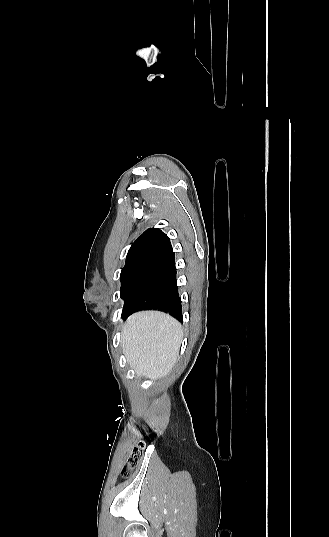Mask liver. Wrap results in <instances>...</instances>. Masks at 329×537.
I'll return each mask as SVG.
<instances>
[{"label":"liver","instance_id":"1","mask_svg":"<svg viewBox=\"0 0 329 537\" xmlns=\"http://www.w3.org/2000/svg\"><path fill=\"white\" fill-rule=\"evenodd\" d=\"M181 324L158 311L131 315L122 330L123 353L138 376L162 378L177 360L182 341Z\"/></svg>","mask_w":329,"mask_h":537}]
</instances>
